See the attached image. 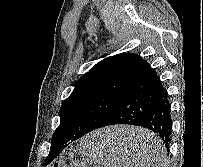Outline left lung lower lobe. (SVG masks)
Segmentation results:
<instances>
[{
  "instance_id": "left-lung-lower-lobe-1",
  "label": "left lung lower lobe",
  "mask_w": 203,
  "mask_h": 167,
  "mask_svg": "<svg viewBox=\"0 0 203 167\" xmlns=\"http://www.w3.org/2000/svg\"><path fill=\"white\" fill-rule=\"evenodd\" d=\"M128 124L148 128L169 147L172 119L168 93L149 63L141 69L109 116L98 128ZM82 137V136H81ZM80 137L60 138L52 143L48 160L55 159L65 147Z\"/></svg>"
}]
</instances>
